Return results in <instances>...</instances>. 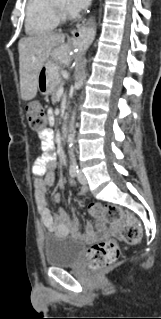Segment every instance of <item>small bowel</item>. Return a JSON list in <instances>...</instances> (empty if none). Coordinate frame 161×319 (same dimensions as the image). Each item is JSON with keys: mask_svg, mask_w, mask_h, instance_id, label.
Instances as JSON below:
<instances>
[{"mask_svg": "<svg viewBox=\"0 0 161 319\" xmlns=\"http://www.w3.org/2000/svg\"><path fill=\"white\" fill-rule=\"evenodd\" d=\"M49 120L52 122L51 115L49 116ZM37 136L40 140L42 154L35 159L32 165V172L36 176L34 181L35 201L41 221L49 231H56L59 234H78L80 231V223L79 221H72L70 215L62 207L61 194L56 193L53 196L54 202L58 205L56 214L51 213L47 202L48 190L54 185L56 178L54 132L48 129L44 132H38ZM46 143H51L54 147L52 149H48L46 147ZM65 183L72 185V181L70 180H66ZM85 192L86 189L81 188L80 194H84ZM97 227L102 232L101 236L118 234L119 232L118 225H111L107 228V224L104 220H99L97 222ZM85 234L89 239H93L95 237V230L91 224L86 225Z\"/></svg>", "mask_w": 161, "mask_h": 319, "instance_id": "obj_1", "label": "small bowel"}]
</instances>
